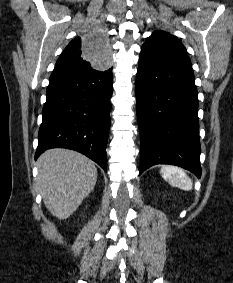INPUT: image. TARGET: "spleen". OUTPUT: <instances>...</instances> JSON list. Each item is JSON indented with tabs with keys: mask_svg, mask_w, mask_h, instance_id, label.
Wrapping results in <instances>:
<instances>
[{
	"mask_svg": "<svg viewBox=\"0 0 233 283\" xmlns=\"http://www.w3.org/2000/svg\"><path fill=\"white\" fill-rule=\"evenodd\" d=\"M160 173L164 180H166L171 186L185 191L192 189V180L181 168L175 166H164L161 168Z\"/></svg>",
	"mask_w": 233,
	"mask_h": 283,
	"instance_id": "spleen-1",
	"label": "spleen"
}]
</instances>
